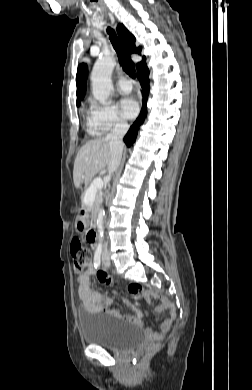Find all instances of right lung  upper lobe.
<instances>
[{
	"label": "right lung upper lobe",
	"mask_w": 252,
	"mask_h": 390,
	"mask_svg": "<svg viewBox=\"0 0 252 390\" xmlns=\"http://www.w3.org/2000/svg\"><path fill=\"white\" fill-rule=\"evenodd\" d=\"M117 32L122 42L127 46L130 53L141 54V47L135 46V37L123 26L118 25ZM145 56L142 57V62L137 64V72L145 67ZM87 79V66L85 64H80L78 66L77 75H76V85H77V105L80 104V100L83 99L85 95V86Z\"/></svg>",
	"instance_id": "right-lung-upper-lobe-1"
}]
</instances>
